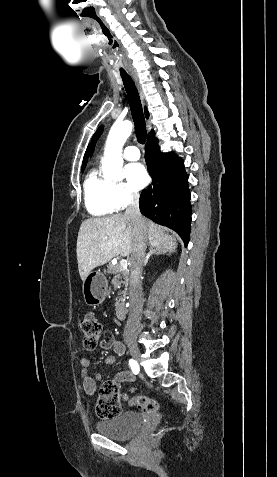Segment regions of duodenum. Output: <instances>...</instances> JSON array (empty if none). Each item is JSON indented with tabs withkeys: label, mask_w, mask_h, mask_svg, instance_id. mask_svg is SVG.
Masks as SVG:
<instances>
[{
	"label": "duodenum",
	"mask_w": 277,
	"mask_h": 477,
	"mask_svg": "<svg viewBox=\"0 0 277 477\" xmlns=\"http://www.w3.org/2000/svg\"><path fill=\"white\" fill-rule=\"evenodd\" d=\"M115 312H116V316L119 318V319H124L125 318V310H124V306L122 303H118L116 306H115Z\"/></svg>",
	"instance_id": "duodenum-1"
}]
</instances>
